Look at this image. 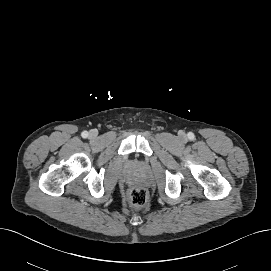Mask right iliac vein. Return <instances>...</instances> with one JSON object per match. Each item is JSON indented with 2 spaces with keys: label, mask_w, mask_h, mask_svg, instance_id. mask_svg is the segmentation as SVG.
<instances>
[{
  "label": "right iliac vein",
  "mask_w": 271,
  "mask_h": 271,
  "mask_svg": "<svg viewBox=\"0 0 271 271\" xmlns=\"http://www.w3.org/2000/svg\"><path fill=\"white\" fill-rule=\"evenodd\" d=\"M97 135H98V133H97L96 130H91V131L89 132V137H90L91 139H95V138L97 137Z\"/></svg>",
  "instance_id": "obj_1"
}]
</instances>
